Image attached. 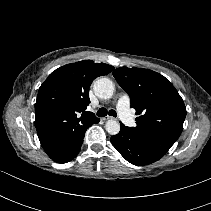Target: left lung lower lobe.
<instances>
[{
    "mask_svg": "<svg viewBox=\"0 0 211 211\" xmlns=\"http://www.w3.org/2000/svg\"><path fill=\"white\" fill-rule=\"evenodd\" d=\"M121 125L117 135L111 137V142L117 151L134 165H147L158 161L161 155L152 150L130 127Z\"/></svg>",
    "mask_w": 211,
    "mask_h": 211,
    "instance_id": "left-lung-lower-lobe-1",
    "label": "left lung lower lobe"
}]
</instances>
